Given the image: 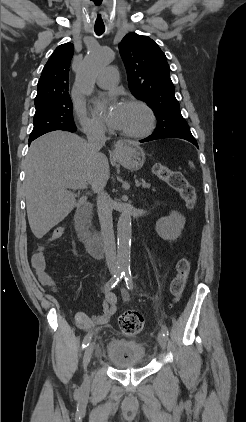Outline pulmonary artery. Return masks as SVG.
<instances>
[{"label": "pulmonary artery", "mask_w": 246, "mask_h": 422, "mask_svg": "<svg viewBox=\"0 0 246 422\" xmlns=\"http://www.w3.org/2000/svg\"><path fill=\"white\" fill-rule=\"evenodd\" d=\"M118 72L114 67L104 68L96 79V84L100 88L108 89L112 88L117 84Z\"/></svg>", "instance_id": "1"}]
</instances>
